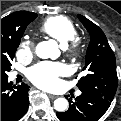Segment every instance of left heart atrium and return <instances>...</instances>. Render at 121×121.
I'll return each mask as SVG.
<instances>
[{"label":"left heart atrium","mask_w":121,"mask_h":121,"mask_svg":"<svg viewBox=\"0 0 121 121\" xmlns=\"http://www.w3.org/2000/svg\"><path fill=\"white\" fill-rule=\"evenodd\" d=\"M64 72L65 67L61 63L43 62L31 68L28 77L36 86L51 89L58 84L59 76Z\"/></svg>","instance_id":"left-heart-atrium-1"}]
</instances>
